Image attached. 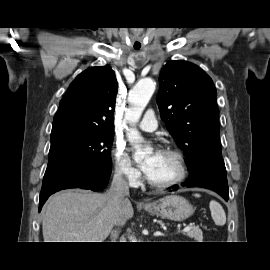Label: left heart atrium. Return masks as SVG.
I'll use <instances>...</instances> for the list:
<instances>
[{
    "instance_id": "obj_1",
    "label": "left heart atrium",
    "mask_w": 270,
    "mask_h": 270,
    "mask_svg": "<svg viewBox=\"0 0 270 270\" xmlns=\"http://www.w3.org/2000/svg\"><path fill=\"white\" fill-rule=\"evenodd\" d=\"M161 151L156 150L150 157H148L141 165L142 170L144 173L148 176L152 170L154 169V166L159 159L161 155Z\"/></svg>"
}]
</instances>
